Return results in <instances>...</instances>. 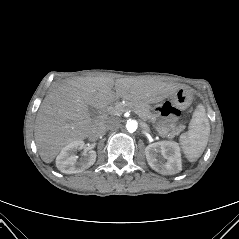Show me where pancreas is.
Returning <instances> with one entry per match:
<instances>
[{
	"label": "pancreas",
	"mask_w": 239,
	"mask_h": 239,
	"mask_svg": "<svg viewBox=\"0 0 239 239\" xmlns=\"http://www.w3.org/2000/svg\"><path fill=\"white\" fill-rule=\"evenodd\" d=\"M120 107L121 106L115 107L112 110V112L113 113L117 112ZM124 107L132 109L144 121L152 123L158 134L162 137L173 138L175 135H178L185 128V126L183 125L177 126L174 123L166 124L165 121L156 122L159 115L152 113L151 110L153 108L147 103L127 102L126 105L123 106L122 108Z\"/></svg>",
	"instance_id": "1"
}]
</instances>
